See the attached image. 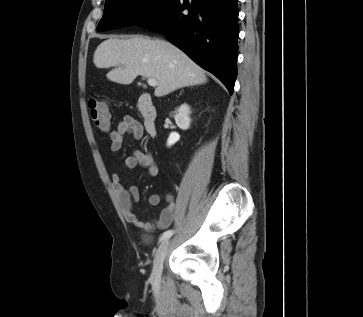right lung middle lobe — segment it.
<instances>
[{"instance_id":"obj_1","label":"right lung middle lobe","mask_w":363,"mask_h":317,"mask_svg":"<svg viewBox=\"0 0 363 317\" xmlns=\"http://www.w3.org/2000/svg\"><path fill=\"white\" fill-rule=\"evenodd\" d=\"M176 0H106L97 31L145 24L166 12Z\"/></svg>"}]
</instances>
